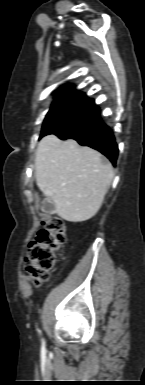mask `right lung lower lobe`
<instances>
[{
	"label": "right lung lower lobe",
	"instance_id": "right-lung-lower-lobe-1",
	"mask_svg": "<svg viewBox=\"0 0 145 385\" xmlns=\"http://www.w3.org/2000/svg\"><path fill=\"white\" fill-rule=\"evenodd\" d=\"M60 139H75L80 145L89 146L104 154L116 164L118 147L110 128L100 118V110L94 105L67 128L56 133Z\"/></svg>",
	"mask_w": 145,
	"mask_h": 385
}]
</instances>
